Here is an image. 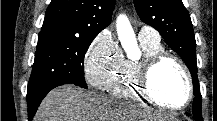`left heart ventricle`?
<instances>
[{
	"label": "left heart ventricle",
	"instance_id": "b2bd125f",
	"mask_svg": "<svg viewBox=\"0 0 217 121\" xmlns=\"http://www.w3.org/2000/svg\"><path fill=\"white\" fill-rule=\"evenodd\" d=\"M154 94L168 105H180L187 96V82L182 71L172 62H165L151 75Z\"/></svg>",
	"mask_w": 217,
	"mask_h": 121
}]
</instances>
